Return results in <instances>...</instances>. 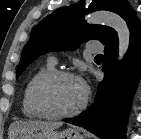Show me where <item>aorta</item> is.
Returning <instances> with one entry per match:
<instances>
[{
  "mask_svg": "<svg viewBox=\"0 0 141 139\" xmlns=\"http://www.w3.org/2000/svg\"><path fill=\"white\" fill-rule=\"evenodd\" d=\"M88 21L92 24L107 25L117 32L119 40L118 61L122 60L130 43V31L125 20L116 13L99 11L92 13Z\"/></svg>",
  "mask_w": 141,
  "mask_h": 139,
  "instance_id": "1",
  "label": "aorta"
}]
</instances>
